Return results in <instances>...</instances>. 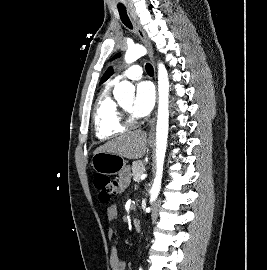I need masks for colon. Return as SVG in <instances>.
Instances as JSON below:
<instances>
[{"instance_id":"1","label":"colon","mask_w":267,"mask_h":270,"mask_svg":"<svg viewBox=\"0 0 267 270\" xmlns=\"http://www.w3.org/2000/svg\"><path fill=\"white\" fill-rule=\"evenodd\" d=\"M94 187L98 192V198L101 203L110 202L121 190V185L118 180L103 174L95 176Z\"/></svg>"}]
</instances>
